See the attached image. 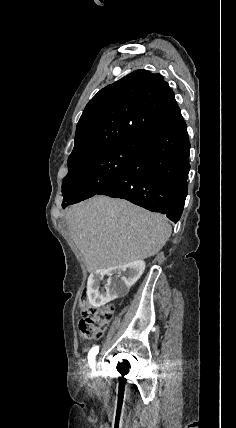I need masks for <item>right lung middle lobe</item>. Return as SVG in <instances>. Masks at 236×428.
Masks as SVG:
<instances>
[{
    "label": "right lung middle lobe",
    "instance_id": "obj_1",
    "mask_svg": "<svg viewBox=\"0 0 236 428\" xmlns=\"http://www.w3.org/2000/svg\"><path fill=\"white\" fill-rule=\"evenodd\" d=\"M137 152V139H130L68 166L62 184V207L96 195L126 168Z\"/></svg>",
    "mask_w": 236,
    "mask_h": 428
}]
</instances>
